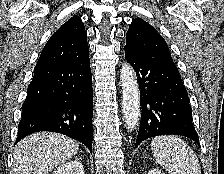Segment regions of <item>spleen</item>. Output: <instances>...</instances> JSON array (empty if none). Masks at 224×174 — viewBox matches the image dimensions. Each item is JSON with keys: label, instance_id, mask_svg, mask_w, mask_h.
<instances>
[{"label": "spleen", "instance_id": "spleen-1", "mask_svg": "<svg viewBox=\"0 0 224 174\" xmlns=\"http://www.w3.org/2000/svg\"><path fill=\"white\" fill-rule=\"evenodd\" d=\"M151 150L156 161L169 174H201L197 155L177 136L155 137L151 141Z\"/></svg>", "mask_w": 224, "mask_h": 174}]
</instances>
